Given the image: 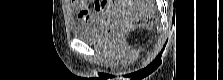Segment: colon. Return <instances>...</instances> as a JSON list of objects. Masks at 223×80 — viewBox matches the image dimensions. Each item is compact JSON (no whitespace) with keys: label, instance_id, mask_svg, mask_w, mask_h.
I'll return each instance as SVG.
<instances>
[{"label":"colon","instance_id":"obj_1","mask_svg":"<svg viewBox=\"0 0 223 80\" xmlns=\"http://www.w3.org/2000/svg\"><path fill=\"white\" fill-rule=\"evenodd\" d=\"M72 2H77V3H83L80 2L78 0H73ZM155 21V17L151 14L146 15L145 17L139 19L136 23H131V24H126L121 30L120 32H125L131 28H133L134 26H139V25H151L153 24Z\"/></svg>","mask_w":223,"mask_h":80}]
</instances>
